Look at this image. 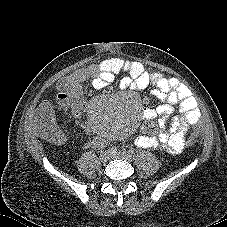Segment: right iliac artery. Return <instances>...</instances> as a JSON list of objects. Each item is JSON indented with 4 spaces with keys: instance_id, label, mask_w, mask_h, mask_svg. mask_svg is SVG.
<instances>
[{
    "instance_id": "right-iliac-artery-1",
    "label": "right iliac artery",
    "mask_w": 227,
    "mask_h": 227,
    "mask_svg": "<svg viewBox=\"0 0 227 227\" xmlns=\"http://www.w3.org/2000/svg\"><path fill=\"white\" fill-rule=\"evenodd\" d=\"M109 152H110L111 154H114V153L117 152V148H116V147H111V148L109 149Z\"/></svg>"
}]
</instances>
